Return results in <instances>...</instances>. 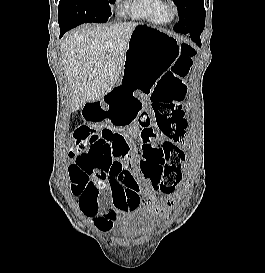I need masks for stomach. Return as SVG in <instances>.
<instances>
[{"mask_svg":"<svg viewBox=\"0 0 265 273\" xmlns=\"http://www.w3.org/2000/svg\"><path fill=\"white\" fill-rule=\"evenodd\" d=\"M179 43L163 29L138 25L128 43L122 77L114 90H132L149 95L155 81L169 68L178 53ZM136 78L137 80H128Z\"/></svg>","mask_w":265,"mask_h":273,"instance_id":"obj_1","label":"stomach"}]
</instances>
